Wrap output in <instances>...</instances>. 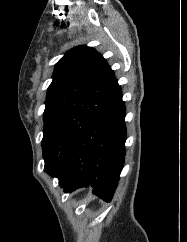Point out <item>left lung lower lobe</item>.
<instances>
[{"label": "left lung lower lobe", "mask_w": 187, "mask_h": 242, "mask_svg": "<svg viewBox=\"0 0 187 242\" xmlns=\"http://www.w3.org/2000/svg\"><path fill=\"white\" fill-rule=\"evenodd\" d=\"M125 113L121 99L79 138L50 173L59 179L65 192L90 185L97 196L105 201L112 199L124 164Z\"/></svg>", "instance_id": "0a47b994"}]
</instances>
